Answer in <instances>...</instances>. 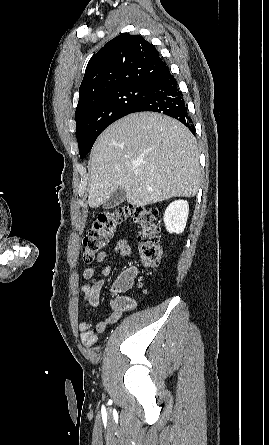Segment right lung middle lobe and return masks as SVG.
Instances as JSON below:
<instances>
[{
	"label": "right lung middle lobe",
	"mask_w": 269,
	"mask_h": 445,
	"mask_svg": "<svg viewBox=\"0 0 269 445\" xmlns=\"http://www.w3.org/2000/svg\"><path fill=\"white\" fill-rule=\"evenodd\" d=\"M149 93L150 85H127L93 98L76 110L80 157L88 154L107 126L132 113Z\"/></svg>",
	"instance_id": "1"
}]
</instances>
